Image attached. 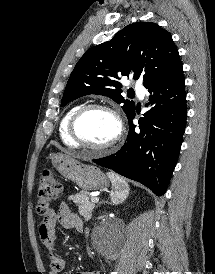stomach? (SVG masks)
Returning <instances> with one entry per match:
<instances>
[{
  "label": "stomach",
  "instance_id": "obj_1",
  "mask_svg": "<svg viewBox=\"0 0 215 274\" xmlns=\"http://www.w3.org/2000/svg\"><path fill=\"white\" fill-rule=\"evenodd\" d=\"M52 163L61 175L84 191L101 190L109 186L108 178L99 168L83 164L66 154H54ZM123 190L124 194L119 202L124 201L129 193V188Z\"/></svg>",
  "mask_w": 215,
  "mask_h": 274
}]
</instances>
